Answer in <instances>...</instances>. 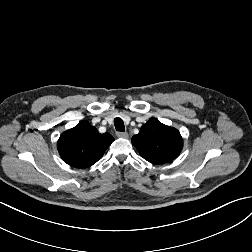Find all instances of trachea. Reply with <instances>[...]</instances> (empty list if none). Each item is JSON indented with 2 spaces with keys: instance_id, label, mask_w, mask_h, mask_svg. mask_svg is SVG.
Instances as JSON below:
<instances>
[{
  "instance_id": "obj_1",
  "label": "trachea",
  "mask_w": 252,
  "mask_h": 252,
  "mask_svg": "<svg viewBox=\"0 0 252 252\" xmlns=\"http://www.w3.org/2000/svg\"><path fill=\"white\" fill-rule=\"evenodd\" d=\"M114 126L115 129L119 132H124L125 131V126H124V122L121 118H115L114 119Z\"/></svg>"
}]
</instances>
